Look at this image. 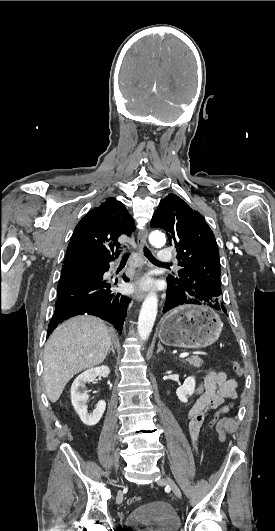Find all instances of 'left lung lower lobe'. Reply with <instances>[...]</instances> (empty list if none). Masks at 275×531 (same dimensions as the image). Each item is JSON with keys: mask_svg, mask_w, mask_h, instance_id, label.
Instances as JSON below:
<instances>
[{"mask_svg": "<svg viewBox=\"0 0 275 531\" xmlns=\"http://www.w3.org/2000/svg\"><path fill=\"white\" fill-rule=\"evenodd\" d=\"M178 305H182V304L174 303V302L170 299L169 295H167L166 303H165L164 308H163V312H167V311H169L170 309H172V308H174V307H176V306H178ZM224 312H226V309L224 310Z\"/></svg>", "mask_w": 275, "mask_h": 531, "instance_id": "left-lung-lower-lobe-1", "label": "left lung lower lobe"}]
</instances>
